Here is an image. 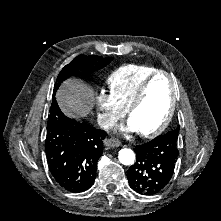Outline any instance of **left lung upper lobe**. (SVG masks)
Returning <instances> with one entry per match:
<instances>
[{"label":"left lung upper lobe","mask_w":221,"mask_h":221,"mask_svg":"<svg viewBox=\"0 0 221 221\" xmlns=\"http://www.w3.org/2000/svg\"><path fill=\"white\" fill-rule=\"evenodd\" d=\"M178 132H179V128H177L173 131H170V132L166 133L165 135L169 136V137L177 138L178 137Z\"/></svg>","instance_id":"1"}]
</instances>
